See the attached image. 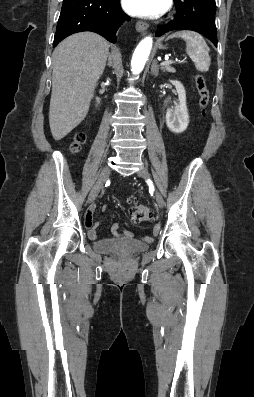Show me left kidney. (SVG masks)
Listing matches in <instances>:
<instances>
[{
    "instance_id": "left-kidney-1",
    "label": "left kidney",
    "mask_w": 254,
    "mask_h": 397,
    "mask_svg": "<svg viewBox=\"0 0 254 397\" xmlns=\"http://www.w3.org/2000/svg\"><path fill=\"white\" fill-rule=\"evenodd\" d=\"M172 85L175 86L179 105L174 109H168L166 112V125L173 133L184 132L189 124V115L186 105V91L184 86L177 80H170Z\"/></svg>"
}]
</instances>
